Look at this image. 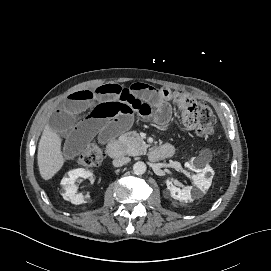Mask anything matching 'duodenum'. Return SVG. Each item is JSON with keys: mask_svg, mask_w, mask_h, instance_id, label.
<instances>
[{"mask_svg": "<svg viewBox=\"0 0 271 271\" xmlns=\"http://www.w3.org/2000/svg\"><path fill=\"white\" fill-rule=\"evenodd\" d=\"M107 154L109 155V157L113 158V159H120L123 157V149L121 144L116 141V140H110L107 144ZM168 155L167 152H164L162 149L160 148H152L150 150V156L153 159H160V158H164Z\"/></svg>", "mask_w": 271, "mask_h": 271, "instance_id": "410a0bca", "label": "duodenum"}]
</instances>
